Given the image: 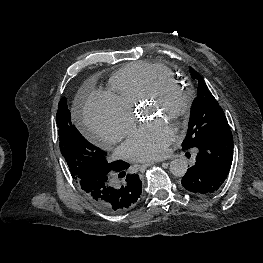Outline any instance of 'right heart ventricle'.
<instances>
[{
  "label": "right heart ventricle",
  "mask_w": 263,
  "mask_h": 263,
  "mask_svg": "<svg viewBox=\"0 0 263 263\" xmlns=\"http://www.w3.org/2000/svg\"><path fill=\"white\" fill-rule=\"evenodd\" d=\"M174 78L165 65L152 62L129 63L110 78L111 95L122 105L133 110L161 80Z\"/></svg>",
  "instance_id": "e07e8e85"
}]
</instances>
